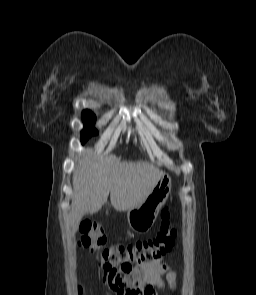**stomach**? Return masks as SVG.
Masks as SVG:
<instances>
[{
	"label": "stomach",
	"instance_id": "0dacf381",
	"mask_svg": "<svg viewBox=\"0 0 256 295\" xmlns=\"http://www.w3.org/2000/svg\"><path fill=\"white\" fill-rule=\"evenodd\" d=\"M171 191V179L163 174L146 200L136 208L127 211V220L130 228L135 232L149 231L165 204Z\"/></svg>",
	"mask_w": 256,
	"mask_h": 295
}]
</instances>
